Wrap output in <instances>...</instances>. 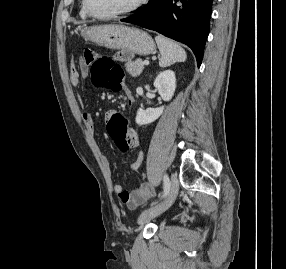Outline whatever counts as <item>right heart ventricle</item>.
I'll return each instance as SVG.
<instances>
[{"label":"right heart ventricle","instance_id":"obj_1","mask_svg":"<svg viewBox=\"0 0 286 269\" xmlns=\"http://www.w3.org/2000/svg\"><path fill=\"white\" fill-rule=\"evenodd\" d=\"M80 14H81L82 16H84V17L87 16V13L85 12L84 7H83V3H82V6H81Z\"/></svg>","mask_w":286,"mask_h":269}]
</instances>
